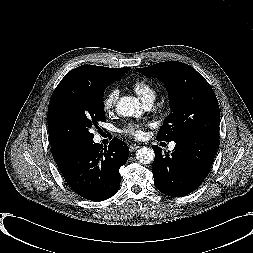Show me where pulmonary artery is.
<instances>
[{"label":"pulmonary artery","instance_id":"e3ab8cb5","mask_svg":"<svg viewBox=\"0 0 253 253\" xmlns=\"http://www.w3.org/2000/svg\"><path fill=\"white\" fill-rule=\"evenodd\" d=\"M152 105H153V101H147V102L144 103V107H145L146 109L151 108ZM174 147H175V143L172 142V143L169 145V149L172 150Z\"/></svg>","mask_w":253,"mask_h":253}]
</instances>
